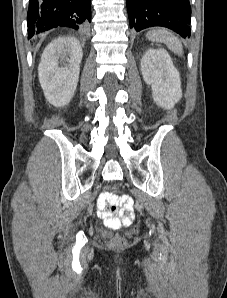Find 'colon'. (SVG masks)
Returning a JSON list of instances; mask_svg holds the SVG:
<instances>
[{
  "instance_id": "1",
  "label": "colon",
  "mask_w": 227,
  "mask_h": 298,
  "mask_svg": "<svg viewBox=\"0 0 227 298\" xmlns=\"http://www.w3.org/2000/svg\"><path fill=\"white\" fill-rule=\"evenodd\" d=\"M119 203L123 204L128 211L133 208V201L127 195H118L113 191H106L99 197L98 208L105 213V222L109 227L114 228L121 224V220L113 216V213L118 211ZM125 243V239L119 234L107 241V244L112 248L123 247Z\"/></svg>"
}]
</instances>
